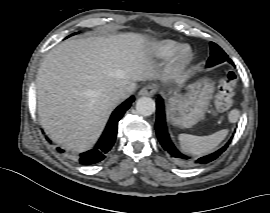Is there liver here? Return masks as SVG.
Listing matches in <instances>:
<instances>
[{
	"mask_svg": "<svg viewBox=\"0 0 270 213\" xmlns=\"http://www.w3.org/2000/svg\"><path fill=\"white\" fill-rule=\"evenodd\" d=\"M146 41L135 33L89 37L47 54L36 79L37 108L53 141L74 152L92 147L120 101L111 91L126 88L129 96L137 81L154 78Z\"/></svg>",
	"mask_w": 270,
	"mask_h": 213,
	"instance_id": "liver-1",
	"label": "liver"
}]
</instances>
